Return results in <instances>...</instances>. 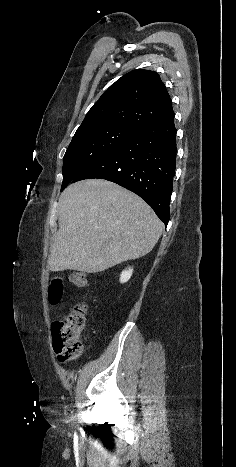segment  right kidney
Masks as SVG:
<instances>
[{"label": "right kidney", "instance_id": "right-kidney-1", "mask_svg": "<svg viewBox=\"0 0 236 467\" xmlns=\"http://www.w3.org/2000/svg\"><path fill=\"white\" fill-rule=\"evenodd\" d=\"M132 272H133V269L131 268H128V270H124L120 275V282L121 283L127 282L130 279Z\"/></svg>", "mask_w": 236, "mask_h": 467}]
</instances>
